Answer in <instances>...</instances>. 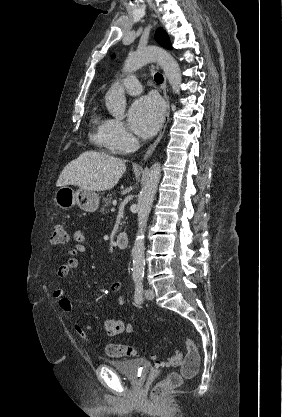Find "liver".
<instances>
[{"instance_id":"obj_1","label":"liver","mask_w":282,"mask_h":417,"mask_svg":"<svg viewBox=\"0 0 282 417\" xmlns=\"http://www.w3.org/2000/svg\"><path fill=\"white\" fill-rule=\"evenodd\" d=\"M126 164L121 158L86 150L63 168L56 186L75 184L83 190H109L124 174Z\"/></svg>"}]
</instances>
